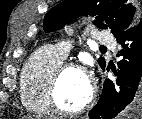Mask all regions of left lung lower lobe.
Masks as SVG:
<instances>
[{
    "label": "left lung lower lobe",
    "instance_id": "left-lung-lower-lobe-1",
    "mask_svg": "<svg viewBox=\"0 0 142 119\" xmlns=\"http://www.w3.org/2000/svg\"><path fill=\"white\" fill-rule=\"evenodd\" d=\"M115 37L122 45L118 56H123L118 62V78L116 84L104 81L100 99L89 112L91 119H114L121 112L139 115L142 111V19Z\"/></svg>",
    "mask_w": 142,
    "mask_h": 119
}]
</instances>
